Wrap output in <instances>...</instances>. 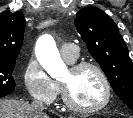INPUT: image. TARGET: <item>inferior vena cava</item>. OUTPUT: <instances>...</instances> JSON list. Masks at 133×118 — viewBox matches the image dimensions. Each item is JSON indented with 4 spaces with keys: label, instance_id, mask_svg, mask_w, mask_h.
Returning a JSON list of instances; mask_svg holds the SVG:
<instances>
[{
    "label": "inferior vena cava",
    "instance_id": "1",
    "mask_svg": "<svg viewBox=\"0 0 133 118\" xmlns=\"http://www.w3.org/2000/svg\"><path fill=\"white\" fill-rule=\"evenodd\" d=\"M32 107L38 112L39 117L43 116V109H44V104L42 102L39 101H34L32 103Z\"/></svg>",
    "mask_w": 133,
    "mask_h": 118
}]
</instances>
